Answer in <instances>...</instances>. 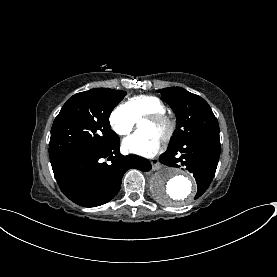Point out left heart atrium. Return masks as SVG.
I'll list each match as a JSON object with an SVG mask.
<instances>
[{
	"mask_svg": "<svg viewBox=\"0 0 277 277\" xmlns=\"http://www.w3.org/2000/svg\"><path fill=\"white\" fill-rule=\"evenodd\" d=\"M161 144L158 136L147 131H138L123 140V147L127 151L143 156L154 155L160 149Z\"/></svg>",
	"mask_w": 277,
	"mask_h": 277,
	"instance_id": "39dd6f15",
	"label": "left heart atrium"
}]
</instances>
